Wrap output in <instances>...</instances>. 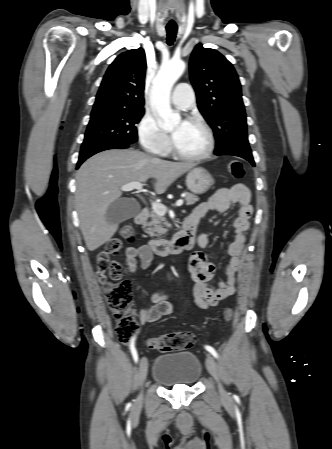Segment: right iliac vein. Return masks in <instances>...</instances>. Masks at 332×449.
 <instances>
[{"label": "right iliac vein", "mask_w": 332, "mask_h": 449, "mask_svg": "<svg viewBox=\"0 0 332 449\" xmlns=\"http://www.w3.org/2000/svg\"><path fill=\"white\" fill-rule=\"evenodd\" d=\"M147 371H148V360H147V358L143 357L140 360L139 370H138V378H139V383H140L141 387L143 386V383L146 379ZM142 398H143V394H142V390H141L137 397V400H136L137 405L141 404Z\"/></svg>", "instance_id": "63e3f726"}]
</instances>
